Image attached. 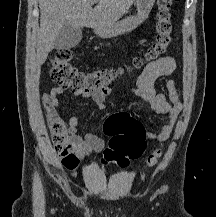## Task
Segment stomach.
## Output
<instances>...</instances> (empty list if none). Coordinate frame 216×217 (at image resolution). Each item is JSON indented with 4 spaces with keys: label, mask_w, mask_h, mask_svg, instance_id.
Listing matches in <instances>:
<instances>
[{
    "label": "stomach",
    "mask_w": 216,
    "mask_h": 217,
    "mask_svg": "<svg viewBox=\"0 0 216 217\" xmlns=\"http://www.w3.org/2000/svg\"><path fill=\"white\" fill-rule=\"evenodd\" d=\"M156 0H135L137 15L128 17L109 27L95 28V33L103 38L115 37L131 32L145 21Z\"/></svg>",
    "instance_id": "1"
}]
</instances>
